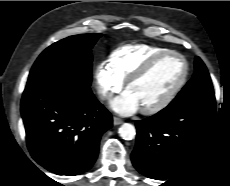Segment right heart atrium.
<instances>
[{"label": "right heart atrium", "mask_w": 230, "mask_h": 186, "mask_svg": "<svg viewBox=\"0 0 230 186\" xmlns=\"http://www.w3.org/2000/svg\"><path fill=\"white\" fill-rule=\"evenodd\" d=\"M96 89L103 100L110 99L114 94L119 93L124 82L114 73L106 61L99 62L94 72Z\"/></svg>", "instance_id": "right-heart-atrium-1"}]
</instances>
